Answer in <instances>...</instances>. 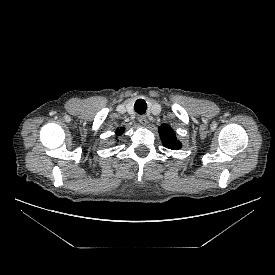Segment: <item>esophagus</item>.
Wrapping results in <instances>:
<instances>
[{
    "label": "esophagus",
    "instance_id": "1",
    "mask_svg": "<svg viewBox=\"0 0 275 275\" xmlns=\"http://www.w3.org/2000/svg\"><path fill=\"white\" fill-rule=\"evenodd\" d=\"M138 121H139V123H140L141 125H143V126H146L147 123H148L147 118H146V116H144V115L138 116Z\"/></svg>",
    "mask_w": 275,
    "mask_h": 275
}]
</instances>
